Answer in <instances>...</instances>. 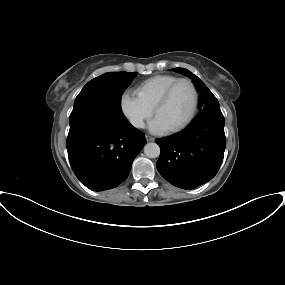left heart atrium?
I'll return each instance as SVG.
<instances>
[{
    "mask_svg": "<svg viewBox=\"0 0 285 285\" xmlns=\"http://www.w3.org/2000/svg\"><path fill=\"white\" fill-rule=\"evenodd\" d=\"M148 129L154 134H164L170 130L158 116H155V118L149 123Z\"/></svg>",
    "mask_w": 285,
    "mask_h": 285,
    "instance_id": "1",
    "label": "left heart atrium"
}]
</instances>
